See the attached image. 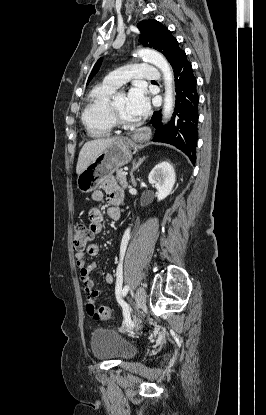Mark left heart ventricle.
I'll use <instances>...</instances> for the list:
<instances>
[{
    "mask_svg": "<svg viewBox=\"0 0 266 415\" xmlns=\"http://www.w3.org/2000/svg\"><path fill=\"white\" fill-rule=\"evenodd\" d=\"M115 107L119 114L127 121H136L138 117L134 116L128 109L127 95L119 93L115 97Z\"/></svg>",
    "mask_w": 266,
    "mask_h": 415,
    "instance_id": "1",
    "label": "left heart ventricle"
}]
</instances>
